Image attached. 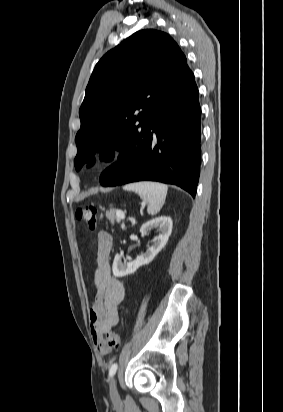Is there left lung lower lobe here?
Returning a JSON list of instances; mask_svg holds the SVG:
<instances>
[{"label":"left lung lower lobe","instance_id":"left-lung-lower-lobe-1","mask_svg":"<svg viewBox=\"0 0 283 412\" xmlns=\"http://www.w3.org/2000/svg\"><path fill=\"white\" fill-rule=\"evenodd\" d=\"M198 89L190 72L149 128L129 138L118 161L100 177L103 186L142 180L174 184L195 197L200 174Z\"/></svg>","mask_w":283,"mask_h":412}]
</instances>
